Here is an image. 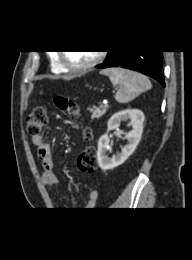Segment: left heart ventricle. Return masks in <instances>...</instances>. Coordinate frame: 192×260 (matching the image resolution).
Here are the masks:
<instances>
[{
    "mask_svg": "<svg viewBox=\"0 0 192 260\" xmlns=\"http://www.w3.org/2000/svg\"><path fill=\"white\" fill-rule=\"evenodd\" d=\"M93 51H69L65 53L67 61L75 66L84 65L96 57Z\"/></svg>",
    "mask_w": 192,
    "mask_h": 260,
    "instance_id": "1",
    "label": "left heart ventricle"
}]
</instances>
